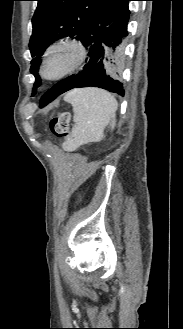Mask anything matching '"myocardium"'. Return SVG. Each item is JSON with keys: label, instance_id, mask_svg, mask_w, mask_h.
Returning <instances> with one entry per match:
<instances>
[{"label": "myocardium", "instance_id": "myocardium-1", "mask_svg": "<svg viewBox=\"0 0 183 329\" xmlns=\"http://www.w3.org/2000/svg\"><path fill=\"white\" fill-rule=\"evenodd\" d=\"M71 46L73 48H75L78 52V58L76 60V62L67 70L61 72L58 75L55 76H47L44 72V67L45 64L50 56V54L57 48L61 47V46ZM87 57V50L85 45L78 39L75 38H71V37H67V38H63L60 39L56 42H54L53 44H51L43 53L42 56V60H41V65H40V75L43 79L48 80V81H56V80H60L72 73H74L76 70H78L83 63L85 62Z\"/></svg>", "mask_w": 183, "mask_h": 329}]
</instances>
